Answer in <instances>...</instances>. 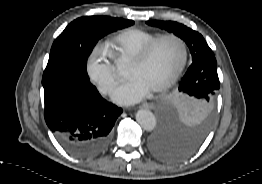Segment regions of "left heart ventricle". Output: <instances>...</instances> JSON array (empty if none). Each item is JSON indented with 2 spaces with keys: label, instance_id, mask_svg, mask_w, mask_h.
<instances>
[{
  "label": "left heart ventricle",
  "instance_id": "left-heart-ventricle-1",
  "mask_svg": "<svg viewBox=\"0 0 262 184\" xmlns=\"http://www.w3.org/2000/svg\"><path fill=\"white\" fill-rule=\"evenodd\" d=\"M183 59V49L179 42L167 39L160 42L146 62L129 64L127 74L138 77L151 89L167 81L177 70Z\"/></svg>",
  "mask_w": 262,
  "mask_h": 184
}]
</instances>
